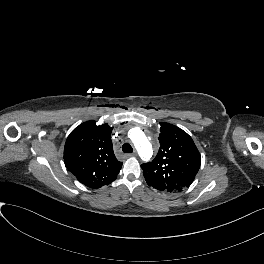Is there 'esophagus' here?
Here are the masks:
<instances>
[{
    "instance_id": "obj_1",
    "label": "esophagus",
    "mask_w": 264,
    "mask_h": 264,
    "mask_svg": "<svg viewBox=\"0 0 264 264\" xmlns=\"http://www.w3.org/2000/svg\"><path fill=\"white\" fill-rule=\"evenodd\" d=\"M136 154H137V153H136V152H134V153H132V154H131V153H129V154H126L125 156H126V157H132V156H136Z\"/></svg>"
}]
</instances>
